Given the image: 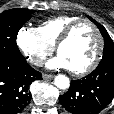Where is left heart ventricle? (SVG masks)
I'll return each mask as SVG.
<instances>
[{
    "label": "left heart ventricle",
    "instance_id": "obj_1",
    "mask_svg": "<svg viewBox=\"0 0 114 114\" xmlns=\"http://www.w3.org/2000/svg\"><path fill=\"white\" fill-rule=\"evenodd\" d=\"M98 46L92 27L80 24L71 37L60 47L59 54L68 62L70 69H81L93 59Z\"/></svg>",
    "mask_w": 114,
    "mask_h": 114
}]
</instances>
